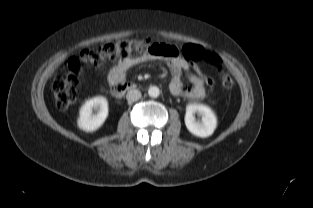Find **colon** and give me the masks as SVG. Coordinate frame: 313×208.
<instances>
[{"instance_id": "5ec220e1", "label": "colon", "mask_w": 313, "mask_h": 208, "mask_svg": "<svg viewBox=\"0 0 313 208\" xmlns=\"http://www.w3.org/2000/svg\"><path fill=\"white\" fill-rule=\"evenodd\" d=\"M162 51V45L143 39L108 42L98 48H84L75 52L68 60L64 73L54 81L52 91L55 105L59 109H64L73 102L80 87L79 76L99 60L132 53L160 54ZM183 56L194 66L208 87L212 88L214 81L197 65L198 62L213 66L219 72L222 85L225 88L232 87L233 81L228 72L223 70L221 60L216 55L201 47L187 45L183 49Z\"/></svg>"}]
</instances>
